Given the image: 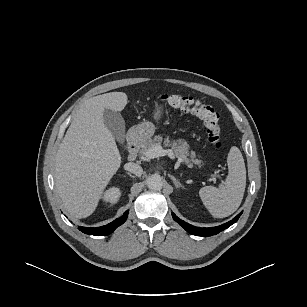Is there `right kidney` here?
Listing matches in <instances>:
<instances>
[{"label": "right kidney", "instance_id": "1", "mask_svg": "<svg viewBox=\"0 0 307 307\" xmlns=\"http://www.w3.org/2000/svg\"><path fill=\"white\" fill-rule=\"evenodd\" d=\"M121 196V190L118 187H110L108 190L105 191L103 195V201L109 202L110 204H115L119 200Z\"/></svg>", "mask_w": 307, "mask_h": 307}]
</instances>
